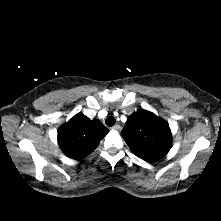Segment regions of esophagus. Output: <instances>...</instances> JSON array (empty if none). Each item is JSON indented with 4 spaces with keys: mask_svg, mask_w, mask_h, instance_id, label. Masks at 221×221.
<instances>
[{
    "mask_svg": "<svg viewBox=\"0 0 221 221\" xmlns=\"http://www.w3.org/2000/svg\"><path fill=\"white\" fill-rule=\"evenodd\" d=\"M121 129V126L119 124H115L113 127H112V130H116V131H119Z\"/></svg>",
    "mask_w": 221,
    "mask_h": 221,
    "instance_id": "34e87169",
    "label": "esophagus"
}]
</instances>
